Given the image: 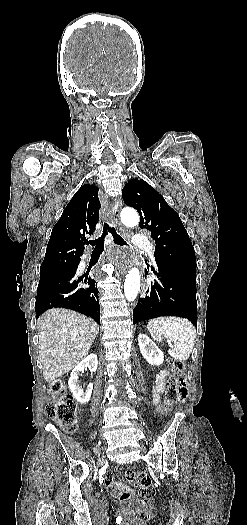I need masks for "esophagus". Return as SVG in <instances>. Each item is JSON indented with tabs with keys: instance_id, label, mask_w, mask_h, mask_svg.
<instances>
[{
	"instance_id": "1",
	"label": "esophagus",
	"mask_w": 247,
	"mask_h": 525,
	"mask_svg": "<svg viewBox=\"0 0 247 525\" xmlns=\"http://www.w3.org/2000/svg\"><path fill=\"white\" fill-rule=\"evenodd\" d=\"M121 207H122V201L120 199H116L111 205V216L115 220L119 231H122V226L119 223V212H120ZM122 265L125 267V270H129L133 268V271H136L137 273V277H142L143 281H142L141 295L144 298L146 294V282H145V276H144L143 270L141 268H138V266H134L132 262H128L127 260H124L122 262Z\"/></svg>"
}]
</instances>
